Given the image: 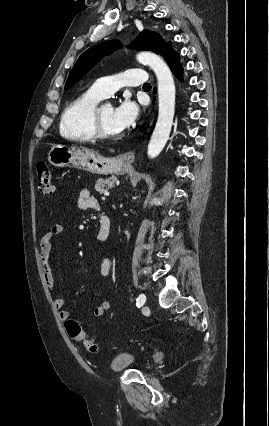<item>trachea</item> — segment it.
<instances>
[{
	"mask_svg": "<svg viewBox=\"0 0 269 426\" xmlns=\"http://www.w3.org/2000/svg\"><path fill=\"white\" fill-rule=\"evenodd\" d=\"M143 88H151V84H150V83H145V84L143 85Z\"/></svg>",
	"mask_w": 269,
	"mask_h": 426,
	"instance_id": "trachea-1",
	"label": "trachea"
}]
</instances>
